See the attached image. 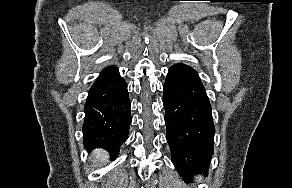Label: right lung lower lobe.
Returning a JSON list of instances; mask_svg holds the SVG:
<instances>
[{"label": "right lung lower lobe", "instance_id": "98d812e1", "mask_svg": "<svg viewBox=\"0 0 292 188\" xmlns=\"http://www.w3.org/2000/svg\"><path fill=\"white\" fill-rule=\"evenodd\" d=\"M131 106L127 84L114 66L105 68L88 92L83 124L84 146L101 147L115 158L128 138Z\"/></svg>", "mask_w": 292, "mask_h": 188}]
</instances>
